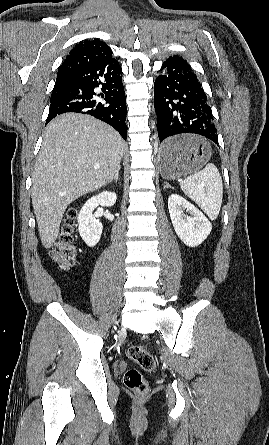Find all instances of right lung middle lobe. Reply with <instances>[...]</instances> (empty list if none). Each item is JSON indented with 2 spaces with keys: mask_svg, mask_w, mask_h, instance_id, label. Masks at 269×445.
Listing matches in <instances>:
<instances>
[{
  "mask_svg": "<svg viewBox=\"0 0 269 445\" xmlns=\"http://www.w3.org/2000/svg\"><path fill=\"white\" fill-rule=\"evenodd\" d=\"M60 94H61V91L58 88H54L52 91V94H51V100L57 98Z\"/></svg>",
  "mask_w": 269,
  "mask_h": 445,
  "instance_id": "right-lung-middle-lobe-1",
  "label": "right lung middle lobe"
}]
</instances>
